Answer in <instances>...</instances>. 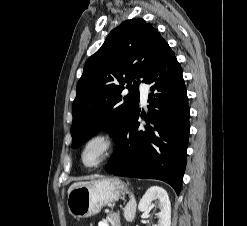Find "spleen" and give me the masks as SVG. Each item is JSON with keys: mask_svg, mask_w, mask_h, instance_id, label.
<instances>
[{"mask_svg": "<svg viewBox=\"0 0 247 226\" xmlns=\"http://www.w3.org/2000/svg\"><path fill=\"white\" fill-rule=\"evenodd\" d=\"M135 205H136L135 198L132 194H130V201L124 209V216L127 220L132 219L135 212Z\"/></svg>", "mask_w": 247, "mask_h": 226, "instance_id": "3e777b00", "label": "spleen"}]
</instances>
